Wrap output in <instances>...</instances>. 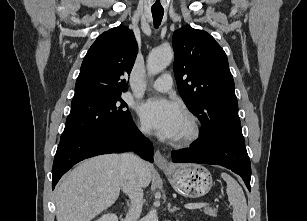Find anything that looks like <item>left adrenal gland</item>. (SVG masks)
I'll return each mask as SVG.
<instances>
[{"label":"left adrenal gland","instance_id":"left-adrenal-gland-1","mask_svg":"<svg viewBox=\"0 0 307 221\" xmlns=\"http://www.w3.org/2000/svg\"><path fill=\"white\" fill-rule=\"evenodd\" d=\"M168 210H169L170 213H174L175 211L179 210V208L176 207V206L171 208V204H168Z\"/></svg>","mask_w":307,"mask_h":221}]
</instances>
